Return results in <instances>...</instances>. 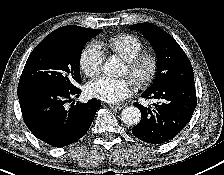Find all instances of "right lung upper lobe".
Here are the masks:
<instances>
[{
	"label": "right lung upper lobe",
	"mask_w": 224,
	"mask_h": 175,
	"mask_svg": "<svg viewBox=\"0 0 224 175\" xmlns=\"http://www.w3.org/2000/svg\"><path fill=\"white\" fill-rule=\"evenodd\" d=\"M81 28L82 27L75 26V25L64 26V27H61V28L53 31L48 36H65V35L75 33L78 30H80Z\"/></svg>",
	"instance_id": "right-lung-upper-lobe-1"
}]
</instances>
